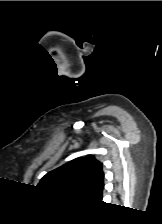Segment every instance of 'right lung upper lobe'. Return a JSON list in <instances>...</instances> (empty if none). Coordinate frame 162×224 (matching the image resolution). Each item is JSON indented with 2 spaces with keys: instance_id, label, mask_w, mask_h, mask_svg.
Returning <instances> with one entry per match:
<instances>
[{
  "instance_id": "right-lung-upper-lobe-1",
  "label": "right lung upper lobe",
  "mask_w": 162,
  "mask_h": 224,
  "mask_svg": "<svg viewBox=\"0 0 162 224\" xmlns=\"http://www.w3.org/2000/svg\"><path fill=\"white\" fill-rule=\"evenodd\" d=\"M104 173L94 156L79 157L47 173L38 186L47 191L101 202Z\"/></svg>"
}]
</instances>
